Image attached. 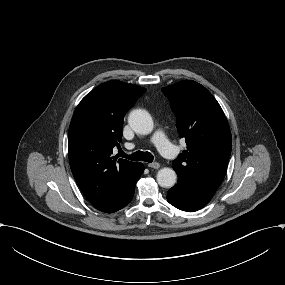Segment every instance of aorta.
Returning a JSON list of instances; mask_svg holds the SVG:
<instances>
[{"instance_id": "aorta-1", "label": "aorta", "mask_w": 285, "mask_h": 285, "mask_svg": "<svg viewBox=\"0 0 285 285\" xmlns=\"http://www.w3.org/2000/svg\"><path fill=\"white\" fill-rule=\"evenodd\" d=\"M131 128L138 134L147 135L154 129V123L151 115L143 109L133 110L128 117ZM157 182L161 187L171 188L177 180L176 172L169 167L161 168L157 173Z\"/></svg>"}]
</instances>
